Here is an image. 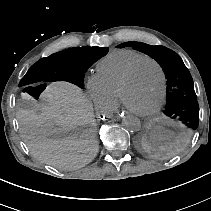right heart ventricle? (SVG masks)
Here are the masks:
<instances>
[{
  "mask_svg": "<svg viewBox=\"0 0 211 211\" xmlns=\"http://www.w3.org/2000/svg\"><path fill=\"white\" fill-rule=\"evenodd\" d=\"M147 56L130 52L119 57H111L100 61L96 66V77L109 93L112 105L117 103V86L123 76L137 63Z\"/></svg>",
  "mask_w": 211,
  "mask_h": 211,
  "instance_id": "1",
  "label": "right heart ventricle"
}]
</instances>
